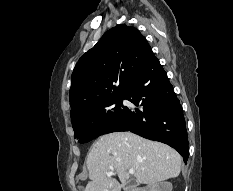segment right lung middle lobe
<instances>
[{
    "instance_id": "right-lung-middle-lobe-1",
    "label": "right lung middle lobe",
    "mask_w": 233,
    "mask_h": 191,
    "mask_svg": "<svg viewBox=\"0 0 233 191\" xmlns=\"http://www.w3.org/2000/svg\"><path fill=\"white\" fill-rule=\"evenodd\" d=\"M124 99L126 96L112 99L71 117L74 137L85 143L103 135L127 111L128 108L122 104Z\"/></svg>"
}]
</instances>
